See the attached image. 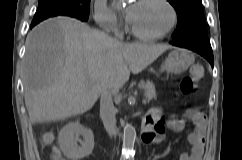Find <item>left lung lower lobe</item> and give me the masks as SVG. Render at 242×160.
<instances>
[{"instance_id": "left-lung-lower-lobe-1", "label": "left lung lower lobe", "mask_w": 242, "mask_h": 160, "mask_svg": "<svg viewBox=\"0 0 242 160\" xmlns=\"http://www.w3.org/2000/svg\"><path fill=\"white\" fill-rule=\"evenodd\" d=\"M174 46L187 48L197 52L204 58H206L211 66L214 65V57L210 41L207 36H194L180 40H173L170 42Z\"/></svg>"}]
</instances>
